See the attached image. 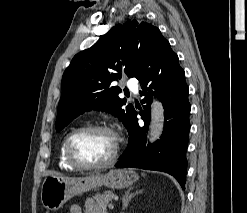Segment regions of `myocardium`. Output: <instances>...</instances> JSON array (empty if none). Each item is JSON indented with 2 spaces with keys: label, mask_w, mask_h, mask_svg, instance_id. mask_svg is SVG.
<instances>
[{
  "label": "myocardium",
  "mask_w": 247,
  "mask_h": 213,
  "mask_svg": "<svg viewBox=\"0 0 247 213\" xmlns=\"http://www.w3.org/2000/svg\"><path fill=\"white\" fill-rule=\"evenodd\" d=\"M100 131L109 132L115 136L116 143L112 155L110 156L109 159L100 163H88L83 161L78 157L75 151V143L77 139L82 135L92 132H100ZM119 151H120V142L117 135L110 127L102 124L87 125L75 129L69 134L65 144V154L68 162L77 169H82V170L101 169L114 164L119 156Z\"/></svg>",
  "instance_id": "1"
}]
</instances>
